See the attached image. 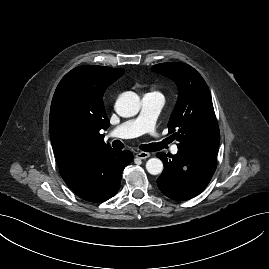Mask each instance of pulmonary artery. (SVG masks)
<instances>
[{
	"mask_svg": "<svg viewBox=\"0 0 269 269\" xmlns=\"http://www.w3.org/2000/svg\"><path fill=\"white\" fill-rule=\"evenodd\" d=\"M164 104V97L159 92L145 94L141 100V110L137 117L127 120L113 129L112 137L132 138L151 132L154 129L156 118ZM171 152L177 154L178 147L172 146Z\"/></svg>",
	"mask_w": 269,
	"mask_h": 269,
	"instance_id": "1",
	"label": "pulmonary artery"
}]
</instances>
